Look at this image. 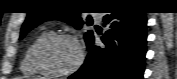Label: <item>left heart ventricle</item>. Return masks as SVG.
<instances>
[{
	"instance_id": "obj_1",
	"label": "left heart ventricle",
	"mask_w": 177,
	"mask_h": 79,
	"mask_svg": "<svg viewBox=\"0 0 177 79\" xmlns=\"http://www.w3.org/2000/svg\"><path fill=\"white\" fill-rule=\"evenodd\" d=\"M42 63L53 71H64L71 68L78 59L76 45L68 40H53L40 52Z\"/></svg>"
}]
</instances>
